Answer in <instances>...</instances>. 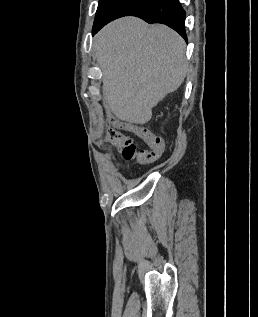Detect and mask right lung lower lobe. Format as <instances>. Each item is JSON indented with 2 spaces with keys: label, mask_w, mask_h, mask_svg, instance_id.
Here are the masks:
<instances>
[{
  "label": "right lung lower lobe",
  "mask_w": 258,
  "mask_h": 317,
  "mask_svg": "<svg viewBox=\"0 0 258 317\" xmlns=\"http://www.w3.org/2000/svg\"><path fill=\"white\" fill-rule=\"evenodd\" d=\"M136 16L148 23H162L177 31L186 41L185 16L179 0H99L92 35L110 21Z\"/></svg>",
  "instance_id": "obj_1"
}]
</instances>
